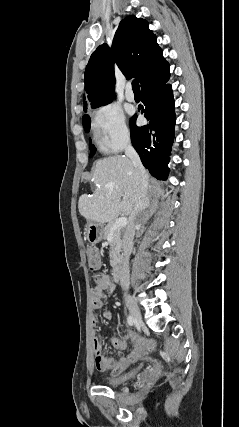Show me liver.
Masks as SVG:
<instances>
[{
	"instance_id": "obj_1",
	"label": "liver",
	"mask_w": 239,
	"mask_h": 427,
	"mask_svg": "<svg viewBox=\"0 0 239 427\" xmlns=\"http://www.w3.org/2000/svg\"><path fill=\"white\" fill-rule=\"evenodd\" d=\"M95 190L79 198L80 214L101 224L130 215L138 195V175L128 157L116 155L97 160L92 176Z\"/></svg>"
}]
</instances>
